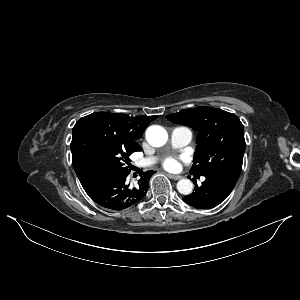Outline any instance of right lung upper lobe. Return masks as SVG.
I'll return each instance as SVG.
<instances>
[{"instance_id": "right-lung-upper-lobe-1", "label": "right lung upper lobe", "mask_w": 300, "mask_h": 300, "mask_svg": "<svg viewBox=\"0 0 300 300\" xmlns=\"http://www.w3.org/2000/svg\"><path fill=\"white\" fill-rule=\"evenodd\" d=\"M97 113L116 135L122 137L137 151H140L141 147L136 140L142 136L148 124L157 118V116H138L131 118L126 114Z\"/></svg>"}]
</instances>
